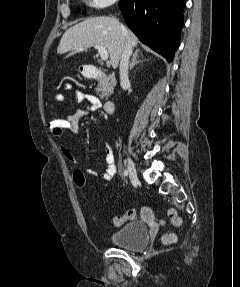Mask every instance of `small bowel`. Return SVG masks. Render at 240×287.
Returning <instances> with one entry per match:
<instances>
[{
  "label": "small bowel",
  "mask_w": 240,
  "mask_h": 287,
  "mask_svg": "<svg viewBox=\"0 0 240 287\" xmlns=\"http://www.w3.org/2000/svg\"><path fill=\"white\" fill-rule=\"evenodd\" d=\"M64 89L67 92L71 93L74 96V98L77 100V102L81 104V107L79 109H77L73 114H70L66 118L68 122V128L66 132H69L71 134H77L79 130L80 120L84 118L85 116H87L90 112L97 110L100 107V101L95 95L75 90L69 84H66L64 86ZM65 99L66 97L63 93H56L54 95V100L56 102L62 103L65 101ZM54 139L59 144L64 157L70 163L79 166V163L74 157V155L72 154V152L65 146L64 141H63V136L60 138L54 137ZM84 171L88 175L98 176V172L93 169L87 168ZM116 171H117V166L115 163V157H114L113 150L111 146L107 145L105 149V169L101 174V178L106 181H109L115 176ZM141 217L146 220L151 219L153 217L152 210L147 206L142 207Z\"/></svg>",
  "instance_id": "small-bowel-1"
}]
</instances>
